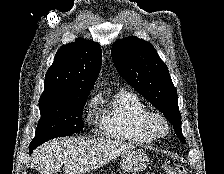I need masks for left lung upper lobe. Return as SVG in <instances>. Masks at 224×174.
I'll list each match as a JSON object with an SVG mask.
<instances>
[{"instance_id": "left-lung-upper-lobe-1", "label": "left lung upper lobe", "mask_w": 224, "mask_h": 174, "mask_svg": "<svg viewBox=\"0 0 224 174\" xmlns=\"http://www.w3.org/2000/svg\"><path fill=\"white\" fill-rule=\"evenodd\" d=\"M111 55L120 75L173 124L174 131L185 143L181 129L178 97L169 71L154 47L136 37L116 42Z\"/></svg>"}]
</instances>
